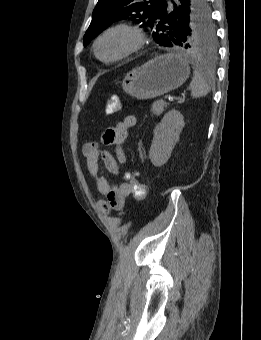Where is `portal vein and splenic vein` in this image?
Returning <instances> with one entry per match:
<instances>
[{
  "label": "portal vein and splenic vein",
  "instance_id": "1",
  "mask_svg": "<svg viewBox=\"0 0 261 340\" xmlns=\"http://www.w3.org/2000/svg\"><path fill=\"white\" fill-rule=\"evenodd\" d=\"M166 100H169V101H172L173 100V97L172 96H166Z\"/></svg>",
  "mask_w": 261,
  "mask_h": 340
}]
</instances>
